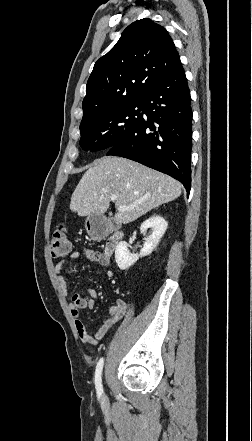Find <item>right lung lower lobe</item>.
I'll list each match as a JSON object with an SVG mask.
<instances>
[{
    "label": "right lung lower lobe",
    "instance_id": "right-lung-lower-lobe-1",
    "mask_svg": "<svg viewBox=\"0 0 252 441\" xmlns=\"http://www.w3.org/2000/svg\"><path fill=\"white\" fill-rule=\"evenodd\" d=\"M142 118L106 155L137 161L191 188L192 110L185 72L179 62L141 99Z\"/></svg>",
    "mask_w": 252,
    "mask_h": 441
}]
</instances>
